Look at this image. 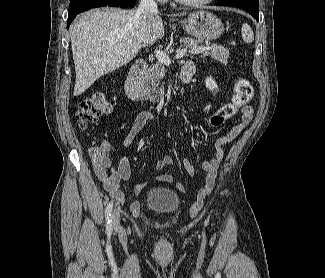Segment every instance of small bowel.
<instances>
[{"label": "small bowel", "mask_w": 325, "mask_h": 278, "mask_svg": "<svg viewBox=\"0 0 325 278\" xmlns=\"http://www.w3.org/2000/svg\"><path fill=\"white\" fill-rule=\"evenodd\" d=\"M187 64L194 67V64L192 62H188ZM252 116V108L248 105H243L241 109L240 121L230 130L227 135L219 138L216 141L214 157L210 160H205L202 162V168L206 172V175L202 188L199 191L201 198L205 197L213 187L218 168L224 157L223 146L231 142L248 125L252 119ZM153 118L154 114L150 111L140 112L134 118L129 132L122 137V145L125 147L131 146L137 134L145 127L146 123ZM103 145H105L107 150H109L108 143H103ZM172 163L173 157L170 155H164L156 162L155 168L157 171H162ZM183 165L189 174L195 175L196 168L190 160L184 159ZM94 171L107 194L110 197L114 198L120 205L124 206L126 204V201L124 199V192L121 189L119 183L121 181H127L130 178L131 169L128 157L125 155H120L117 168H113L111 166L110 157L108 155H105L99 162L95 164ZM157 179L165 183H171L174 181V178L171 174H160L157 176ZM145 185V182L137 184L135 186V192L138 194L141 193ZM178 188L181 192H185L186 190L181 183H178ZM130 208L132 210H135L136 204L132 203L130 205Z\"/></svg>", "instance_id": "small-bowel-1"}]
</instances>
